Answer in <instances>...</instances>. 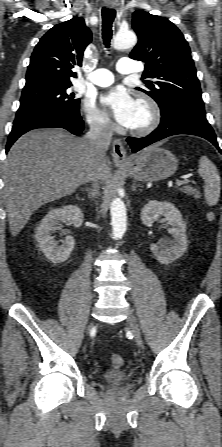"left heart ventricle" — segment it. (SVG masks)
Returning <instances> with one entry per match:
<instances>
[{"mask_svg":"<svg viewBox=\"0 0 222 447\" xmlns=\"http://www.w3.org/2000/svg\"><path fill=\"white\" fill-rule=\"evenodd\" d=\"M146 118H147L146 110L142 106L137 104L135 116H134L131 127H135V126H139V125L143 124L146 121Z\"/></svg>","mask_w":222,"mask_h":447,"instance_id":"left-heart-ventricle-1","label":"left heart ventricle"}]
</instances>
